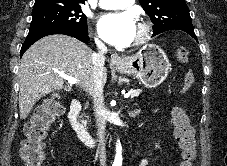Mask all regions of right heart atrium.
<instances>
[{
  "label": "right heart atrium",
  "instance_id": "right-heart-atrium-1",
  "mask_svg": "<svg viewBox=\"0 0 227 166\" xmlns=\"http://www.w3.org/2000/svg\"><path fill=\"white\" fill-rule=\"evenodd\" d=\"M96 42H97L98 44H101V43H102L99 39H96Z\"/></svg>",
  "mask_w": 227,
  "mask_h": 166
}]
</instances>
